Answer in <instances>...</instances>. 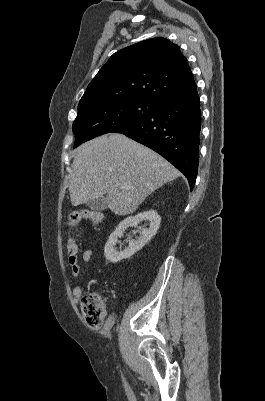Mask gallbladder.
Wrapping results in <instances>:
<instances>
[{
	"label": "gallbladder",
	"instance_id": "obj_1",
	"mask_svg": "<svg viewBox=\"0 0 265 401\" xmlns=\"http://www.w3.org/2000/svg\"><path fill=\"white\" fill-rule=\"evenodd\" d=\"M86 207H89L91 211H94V213H100V211H105L107 209V203H106V196H98V198H93V201H88V203H85Z\"/></svg>",
	"mask_w": 265,
	"mask_h": 401
}]
</instances>
